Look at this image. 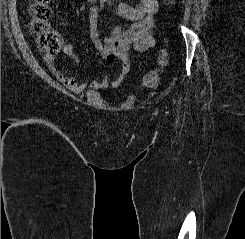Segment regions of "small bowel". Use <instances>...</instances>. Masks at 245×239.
Here are the masks:
<instances>
[{
  "label": "small bowel",
  "instance_id": "1",
  "mask_svg": "<svg viewBox=\"0 0 245 239\" xmlns=\"http://www.w3.org/2000/svg\"><path fill=\"white\" fill-rule=\"evenodd\" d=\"M115 11L119 17L133 22L128 29L110 27L108 28V35L102 39L97 25V10L94 8L91 10L89 17V33L93 47L107 63L119 62L120 68L116 78L109 79L103 75L88 84L81 83L75 78L66 75L61 68L55 65V54L44 56V61L52 74L68 90L74 93H81L86 89L118 88L130 70V50L145 52L152 48L154 44L152 35L153 15L158 11L157 0H140V4L137 6L116 2ZM62 50L72 62L75 64L80 63V59L70 42L64 40Z\"/></svg>",
  "mask_w": 245,
  "mask_h": 239
}]
</instances>
